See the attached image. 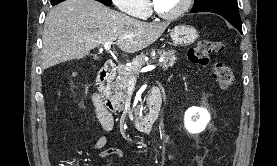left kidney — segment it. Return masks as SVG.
<instances>
[{
  "instance_id": "left-kidney-1",
  "label": "left kidney",
  "mask_w": 277,
  "mask_h": 166,
  "mask_svg": "<svg viewBox=\"0 0 277 166\" xmlns=\"http://www.w3.org/2000/svg\"><path fill=\"white\" fill-rule=\"evenodd\" d=\"M211 117L207 109L202 107H191L184 115V125L191 134L201 133L205 130Z\"/></svg>"
}]
</instances>
